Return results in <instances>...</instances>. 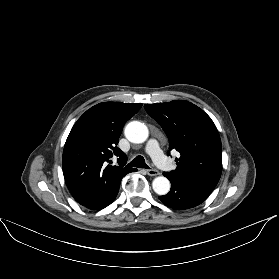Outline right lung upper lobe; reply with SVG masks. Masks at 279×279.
<instances>
[{
  "mask_svg": "<svg viewBox=\"0 0 279 279\" xmlns=\"http://www.w3.org/2000/svg\"><path fill=\"white\" fill-rule=\"evenodd\" d=\"M142 104L103 102L87 110L74 124L63 151V174L74 199L88 206L107 198L122 178L137 169L117 144L126 121ZM117 156L118 166L111 158Z\"/></svg>",
  "mask_w": 279,
  "mask_h": 279,
  "instance_id": "obj_1",
  "label": "right lung upper lobe"
}]
</instances>
